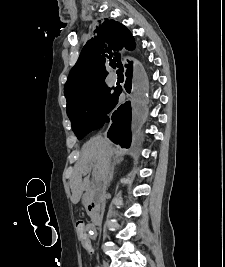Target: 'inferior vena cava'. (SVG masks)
Masks as SVG:
<instances>
[{"label":"inferior vena cava","instance_id":"602c4592","mask_svg":"<svg viewBox=\"0 0 225 267\" xmlns=\"http://www.w3.org/2000/svg\"><path fill=\"white\" fill-rule=\"evenodd\" d=\"M98 139L103 141L104 138L102 136H98ZM109 180H110V167L109 165H107L104 169V172L101 176V182L99 185V189H98V193H99V200L98 202L100 203V211L101 213L104 212V207H105V193H106V189L107 186L109 184Z\"/></svg>","mask_w":225,"mask_h":267}]
</instances>
